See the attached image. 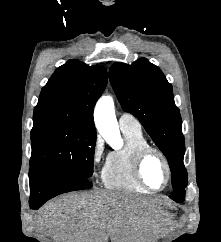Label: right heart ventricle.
Here are the masks:
<instances>
[{
  "mask_svg": "<svg viewBox=\"0 0 221 242\" xmlns=\"http://www.w3.org/2000/svg\"><path fill=\"white\" fill-rule=\"evenodd\" d=\"M125 145L107 155L102 169V180L106 188L133 193H149L134 173V157L138 150L148 146L141 130L121 128Z\"/></svg>",
  "mask_w": 221,
  "mask_h": 242,
  "instance_id": "e07e8e85",
  "label": "right heart ventricle"
}]
</instances>
